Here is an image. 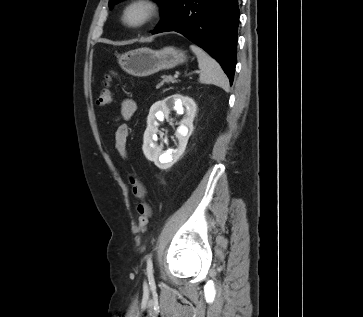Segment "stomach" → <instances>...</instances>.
I'll use <instances>...</instances> for the list:
<instances>
[{"instance_id":"stomach-1","label":"stomach","mask_w":363,"mask_h":317,"mask_svg":"<svg viewBox=\"0 0 363 317\" xmlns=\"http://www.w3.org/2000/svg\"><path fill=\"white\" fill-rule=\"evenodd\" d=\"M183 51L174 47L153 50L142 47L128 51L118 57V63L128 74L145 77L164 69H171L186 61Z\"/></svg>"}]
</instances>
